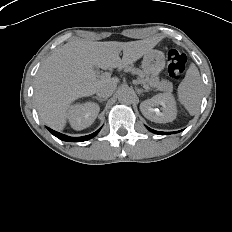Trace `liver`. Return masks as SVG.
<instances>
[{
	"label": "liver",
	"instance_id": "6515ba94",
	"mask_svg": "<svg viewBox=\"0 0 232 232\" xmlns=\"http://www.w3.org/2000/svg\"><path fill=\"white\" fill-rule=\"evenodd\" d=\"M157 43L156 39L94 42L79 38L66 43L44 61L36 75L34 97L40 120L54 130H62L70 104L95 94L103 81L111 80L99 78L94 67L122 69Z\"/></svg>",
	"mask_w": 232,
	"mask_h": 232
}]
</instances>
